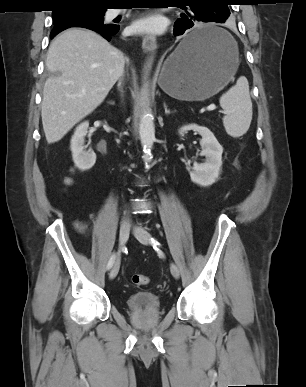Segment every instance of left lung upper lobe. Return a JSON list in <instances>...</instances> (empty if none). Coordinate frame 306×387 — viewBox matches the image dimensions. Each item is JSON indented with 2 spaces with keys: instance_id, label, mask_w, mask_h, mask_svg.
Listing matches in <instances>:
<instances>
[{
  "instance_id": "1",
  "label": "left lung upper lobe",
  "mask_w": 306,
  "mask_h": 387,
  "mask_svg": "<svg viewBox=\"0 0 306 387\" xmlns=\"http://www.w3.org/2000/svg\"><path fill=\"white\" fill-rule=\"evenodd\" d=\"M226 2L227 0H185L191 10L187 14H181V18L203 22H225L230 15ZM182 8L185 9L186 5Z\"/></svg>"
}]
</instances>
